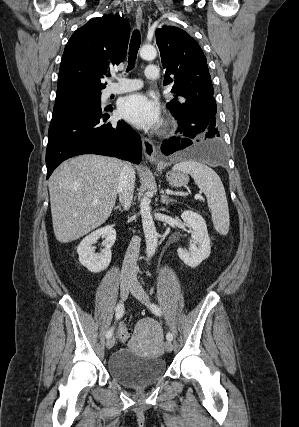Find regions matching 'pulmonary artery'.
Here are the masks:
<instances>
[{
	"instance_id": "obj_1",
	"label": "pulmonary artery",
	"mask_w": 299,
	"mask_h": 427,
	"mask_svg": "<svg viewBox=\"0 0 299 427\" xmlns=\"http://www.w3.org/2000/svg\"><path fill=\"white\" fill-rule=\"evenodd\" d=\"M145 78L147 80H156L159 76V72L156 66L150 65L145 69ZM119 82L113 84L109 90V94H121L138 90L142 86L140 79H128L124 77H118Z\"/></svg>"
}]
</instances>
